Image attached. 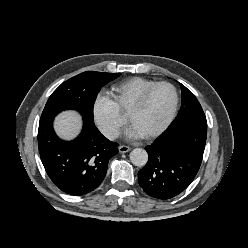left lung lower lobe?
I'll list each match as a JSON object with an SVG mask.
<instances>
[{
	"instance_id": "1",
	"label": "left lung lower lobe",
	"mask_w": 248,
	"mask_h": 248,
	"mask_svg": "<svg viewBox=\"0 0 248 248\" xmlns=\"http://www.w3.org/2000/svg\"><path fill=\"white\" fill-rule=\"evenodd\" d=\"M207 122H181L168 127L145 149L149 159L138 181L151 197L170 199L195 178L203 158Z\"/></svg>"
}]
</instances>
